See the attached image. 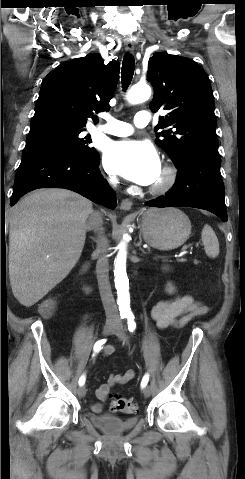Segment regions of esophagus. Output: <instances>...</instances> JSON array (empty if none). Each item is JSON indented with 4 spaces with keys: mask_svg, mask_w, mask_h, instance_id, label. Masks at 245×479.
Listing matches in <instances>:
<instances>
[{
    "mask_svg": "<svg viewBox=\"0 0 245 479\" xmlns=\"http://www.w3.org/2000/svg\"><path fill=\"white\" fill-rule=\"evenodd\" d=\"M124 45H125V49H126L128 52L133 53V51H134V44H133V42H131V41H125V42H124ZM131 207H132V202H131L129 199H123V200L121 201V203H120V208H121L122 210L128 211V210L131 209Z\"/></svg>",
    "mask_w": 245,
    "mask_h": 479,
    "instance_id": "34e87169",
    "label": "esophagus"
}]
</instances>
